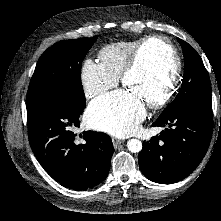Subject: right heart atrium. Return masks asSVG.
<instances>
[{
    "instance_id": "right-heart-atrium-1",
    "label": "right heart atrium",
    "mask_w": 221,
    "mask_h": 221,
    "mask_svg": "<svg viewBox=\"0 0 221 221\" xmlns=\"http://www.w3.org/2000/svg\"><path fill=\"white\" fill-rule=\"evenodd\" d=\"M81 80L85 94L89 98H95L108 89L114 87L118 79L107 75L99 63L86 60L81 68Z\"/></svg>"
}]
</instances>
